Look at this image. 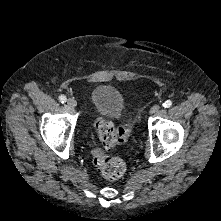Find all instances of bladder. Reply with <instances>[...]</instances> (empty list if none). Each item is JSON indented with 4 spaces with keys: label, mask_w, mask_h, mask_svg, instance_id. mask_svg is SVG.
Segmentation results:
<instances>
[{
    "label": "bladder",
    "mask_w": 221,
    "mask_h": 221,
    "mask_svg": "<svg viewBox=\"0 0 221 221\" xmlns=\"http://www.w3.org/2000/svg\"><path fill=\"white\" fill-rule=\"evenodd\" d=\"M91 103L98 114L118 119L121 117L125 103L120 91L110 85H98L91 92Z\"/></svg>",
    "instance_id": "1"
}]
</instances>
